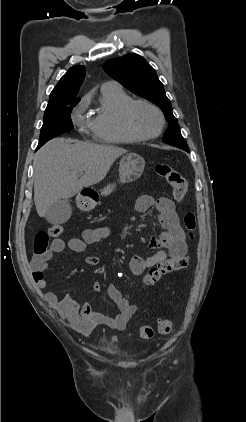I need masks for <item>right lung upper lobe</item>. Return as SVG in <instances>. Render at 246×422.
<instances>
[{
	"label": "right lung upper lobe",
	"mask_w": 246,
	"mask_h": 422,
	"mask_svg": "<svg viewBox=\"0 0 246 422\" xmlns=\"http://www.w3.org/2000/svg\"><path fill=\"white\" fill-rule=\"evenodd\" d=\"M84 77V66L78 65L71 67L52 90L47 107L65 102L80 101L79 98H76V95Z\"/></svg>",
	"instance_id": "right-lung-upper-lobe-1"
}]
</instances>
